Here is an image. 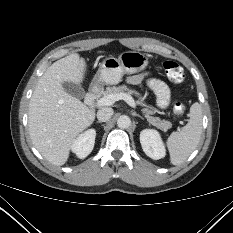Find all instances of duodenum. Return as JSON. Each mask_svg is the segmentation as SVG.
<instances>
[{"instance_id":"1","label":"duodenum","mask_w":233,"mask_h":233,"mask_svg":"<svg viewBox=\"0 0 233 233\" xmlns=\"http://www.w3.org/2000/svg\"><path fill=\"white\" fill-rule=\"evenodd\" d=\"M99 94V88L97 85L91 87L85 97V104L87 106H93Z\"/></svg>"}]
</instances>
